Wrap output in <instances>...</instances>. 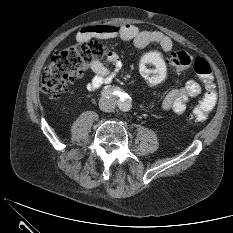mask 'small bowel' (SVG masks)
Instances as JSON below:
<instances>
[{"instance_id":"small-bowel-1","label":"small bowel","mask_w":233,"mask_h":233,"mask_svg":"<svg viewBox=\"0 0 233 233\" xmlns=\"http://www.w3.org/2000/svg\"><path fill=\"white\" fill-rule=\"evenodd\" d=\"M91 37L101 39L120 38L123 41H131L135 47L144 49L150 46L159 47L164 53H170L173 48L172 40L158 31L141 30L133 24L124 25H96L82 28L78 34L79 41L88 40ZM119 58L114 53L109 54L106 61L93 60L89 67L93 73L87 83V88L92 91L109 88L114 73L119 68ZM201 93V86L195 80H188L182 87L169 91L162 101V108L182 114L187 108L190 99Z\"/></svg>"}]
</instances>
